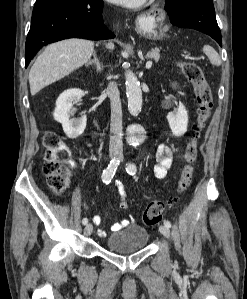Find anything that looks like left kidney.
<instances>
[{
  "mask_svg": "<svg viewBox=\"0 0 247 299\" xmlns=\"http://www.w3.org/2000/svg\"><path fill=\"white\" fill-rule=\"evenodd\" d=\"M168 123L175 136H182L187 131L188 112L185 108L180 109L176 114L168 117Z\"/></svg>",
  "mask_w": 247,
  "mask_h": 299,
  "instance_id": "1",
  "label": "left kidney"
}]
</instances>
